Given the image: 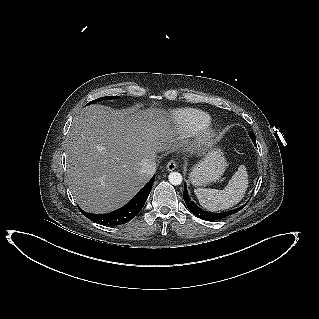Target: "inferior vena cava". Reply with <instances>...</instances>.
I'll return each mask as SVG.
<instances>
[{"instance_id": "inferior-vena-cava-1", "label": "inferior vena cava", "mask_w": 319, "mask_h": 319, "mask_svg": "<svg viewBox=\"0 0 319 319\" xmlns=\"http://www.w3.org/2000/svg\"><path fill=\"white\" fill-rule=\"evenodd\" d=\"M141 171L145 174L153 175L156 171V156L144 158L141 161Z\"/></svg>"}]
</instances>
